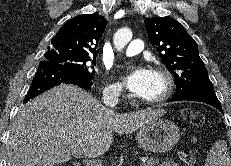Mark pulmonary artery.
<instances>
[{
    "label": "pulmonary artery",
    "mask_w": 231,
    "mask_h": 166,
    "mask_svg": "<svg viewBox=\"0 0 231 166\" xmlns=\"http://www.w3.org/2000/svg\"><path fill=\"white\" fill-rule=\"evenodd\" d=\"M144 49V43L140 39H134L132 40L127 49L125 50L126 56H134L139 54Z\"/></svg>",
    "instance_id": "1"
}]
</instances>
